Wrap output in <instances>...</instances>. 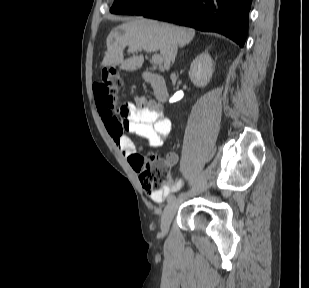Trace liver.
I'll list each match as a JSON object with an SVG mask.
<instances>
[{
	"label": "liver",
	"mask_w": 309,
	"mask_h": 288,
	"mask_svg": "<svg viewBox=\"0 0 309 288\" xmlns=\"http://www.w3.org/2000/svg\"><path fill=\"white\" fill-rule=\"evenodd\" d=\"M195 37V30L178 27L144 18L131 19L114 28L106 40L107 50L102 66H116L126 71L140 69L144 62L142 54L133 55L124 60V49L130 52L146 51L148 53L160 51L164 61V68L169 70L172 50L176 46H185Z\"/></svg>",
	"instance_id": "6515ba94"
}]
</instances>
